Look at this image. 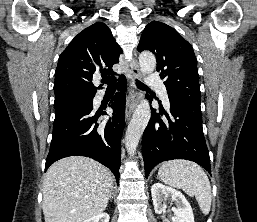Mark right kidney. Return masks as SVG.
<instances>
[{
  "label": "right kidney",
  "instance_id": "obj_1",
  "mask_svg": "<svg viewBox=\"0 0 257 222\" xmlns=\"http://www.w3.org/2000/svg\"><path fill=\"white\" fill-rule=\"evenodd\" d=\"M109 215L107 213H100L89 219L84 220L83 222H109Z\"/></svg>",
  "mask_w": 257,
  "mask_h": 222
}]
</instances>
